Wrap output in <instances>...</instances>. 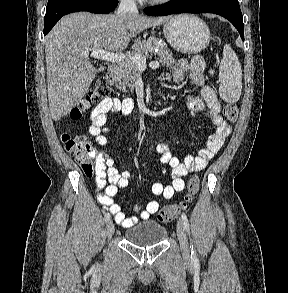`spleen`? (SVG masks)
<instances>
[{
    "instance_id": "obj_1",
    "label": "spleen",
    "mask_w": 288,
    "mask_h": 293,
    "mask_svg": "<svg viewBox=\"0 0 288 293\" xmlns=\"http://www.w3.org/2000/svg\"><path fill=\"white\" fill-rule=\"evenodd\" d=\"M219 80L220 97L228 103L238 101L242 90V69L236 53L228 44L223 48Z\"/></svg>"
}]
</instances>
